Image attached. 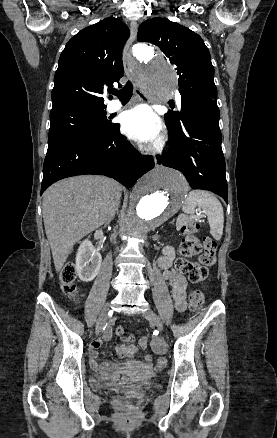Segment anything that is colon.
Wrapping results in <instances>:
<instances>
[{"label": "colon", "mask_w": 277, "mask_h": 438, "mask_svg": "<svg viewBox=\"0 0 277 438\" xmlns=\"http://www.w3.org/2000/svg\"><path fill=\"white\" fill-rule=\"evenodd\" d=\"M180 231L183 234L181 242V252L186 257L199 256V263L184 258L176 260V269L179 273L185 275L192 282H202L208 276V269L215 264V255L217 243L211 235L195 236L199 231V224L196 221L183 218L180 221ZM62 292L69 298H75L78 295V289L72 280L76 276L73 266H65L62 270ZM189 310L193 313L198 312L205 303V296L200 291L190 293ZM117 335H123V329H115ZM126 341H133L131 336L125 338ZM166 360L163 357L157 359L156 365L160 369L164 367ZM125 407L127 409H136L138 407V395L136 393H127L125 395Z\"/></svg>", "instance_id": "obj_1"}]
</instances>
